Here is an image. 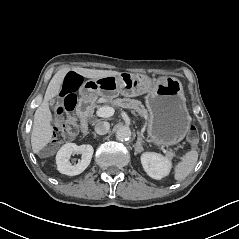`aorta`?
Instances as JSON below:
<instances>
[{"instance_id": "1", "label": "aorta", "mask_w": 239, "mask_h": 239, "mask_svg": "<svg viewBox=\"0 0 239 239\" xmlns=\"http://www.w3.org/2000/svg\"><path fill=\"white\" fill-rule=\"evenodd\" d=\"M131 138L129 127L122 126L116 130V139L119 141H128Z\"/></svg>"}]
</instances>
